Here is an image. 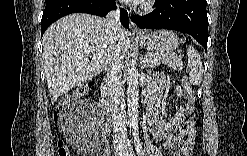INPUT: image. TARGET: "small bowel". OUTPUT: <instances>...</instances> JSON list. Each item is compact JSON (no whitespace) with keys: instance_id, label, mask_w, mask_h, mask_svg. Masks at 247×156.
Segmentation results:
<instances>
[{"instance_id":"obj_1","label":"small bowel","mask_w":247,"mask_h":156,"mask_svg":"<svg viewBox=\"0 0 247 156\" xmlns=\"http://www.w3.org/2000/svg\"><path fill=\"white\" fill-rule=\"evenodd\" d=\"M164 90V77L156 75L147 95V109L150 110L148 121L151 127L153 138L162 142L168 149L170 155L188 156L192 153L196 129L192 120H185L183 108L180 107L175 116L170 119L160 115L157 109ZM177 97L185 98L180 88L174 90Z\"/></svg>"}]
</instances>
